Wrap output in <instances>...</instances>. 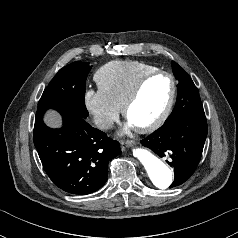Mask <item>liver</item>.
Listing matches in <instances>:
<instances>
[{"instance_id":"obj_1","label":"liver","mask_w":238,"mask_h":238,"mask_svg":"<svg viewBox=\"0 0 238 238\" xmlns=\"http://www.w3.org/2000/svg\"><path fill=\"white\" fill-rule=\"evenodd\" d=\"M45 123L53 128L61 126V117L54 111H49L44 118Z\"/></svg>"}]
</instances>
